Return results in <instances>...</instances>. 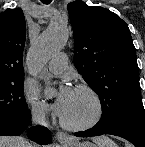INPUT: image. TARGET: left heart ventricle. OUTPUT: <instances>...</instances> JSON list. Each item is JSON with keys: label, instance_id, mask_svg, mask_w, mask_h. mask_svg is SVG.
Wrapping results in <instances>:
<instances>
[{"label": "left heart ventricle", "instance_id": "b2bd125f", "mask_svg": "<svg viewBox=\"0 0 145 147\" xmlns=\"http://www.w3.org/2000/svg\"><path fill=\"white\" fill-rule=\"evenodd\" d=\"M94 110L91 97L83 91L74 90L70 104L62 117L69 123H83L92 117Z\"/></svg>", "mask_w": 145, "mask_h": 147}]
</instances>
